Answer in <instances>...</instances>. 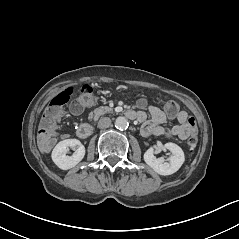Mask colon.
I'll return each mask as SVG.
<instances>
[{
  "label": "colon",
  "instance_id": "colon-1",
  "mask_svg": "<svg viewBox=\"0 0 239 239\" xmlns=\"http://www.w3.org/2000/svg\"><path fill=\"white\" fill-rule=\"evenodd\" d=\"M73 93L72 88H67L64 91L58 93L52 98L49 105L44 111V114L40 123L39 139L44 145L48 144L54 131L55 124L61 115L63 106L67 104L70 99V95ZM95 101L93 88L89 85H82L78 90V97L72 103V110L75 113L82 112L83 110L91 107ZM179 106L175 101H168L165 104V112L169 116H174L178 113ZM189 125L193 128V133L188 139V146L190 149H194L197 145V137L195 130V119L190 117L188 120Z\"/></svg>",
  "mask_w": 239,
  "mask_h": 239
}]
</instances>
